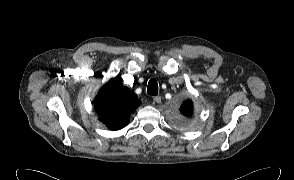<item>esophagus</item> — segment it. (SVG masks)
<instances>
[{
  "instance_id": "34e87169",
  "label": "esophagus",
  "mask_w": 294,
  "mask_h": 180,
  "mask_svg": "<svg viewBox=\"0 0 294 180\" xmlns=\"http://www.w3.org/2000/svg\"><path fill=\"white\" fill-rule=\"evenodd\" d=\"M153 101L157 104H160L161 103V97L160 96H154L153 97Z\"/></svg>"
}]
</instances>
